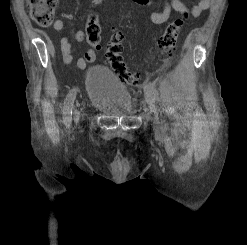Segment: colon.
<instances>
[{
    "instance_id": "colon-1",
    "label": "colon",
    "mask_w": 247,
    "mask_h": 245,
    "mask_svg": "<svg viewBox=\"0 0 247 245\" xmlns=\"http://www.w3.org/2000/svg\"><path fill=\"white\" fill-rule=\"evenodd\" d=\"M57 2L58 0H26L31 18L41 26H49L52 23ZM183 25L184 18H176L168 24L164 33L158 38L157 55L161 61H166L175 54L177 41ZM100 35L101 27L98 16L95 13H91L86 21V39L96 50L101 49ZM124 51L125 46L121 43L120 39L112 36L111 41L106 47V61L124 83L138 86L141 84L142 76L126 66L123 59Z\"/></svg>"
}]
</instances>
